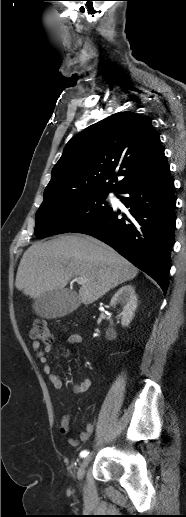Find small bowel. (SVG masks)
<instances>
[{
    "mask_svg": "<svg viewBox=\"0 0 186 517\" xmlns=\"http://www.w3.org/2000/svg\"><path fill=\"white\" fill-rule=\"evenodd\" d=\"M68 344L75 346L79 345L82 342L81 335L77 333H72L67 338ZM32 349L36 355V358L43 364V370L49 376V380L54 387L55 390H62L63 382L60 376L56 373L51 372V367L47 364L46 353L50 352L52 349L51 345H46L44 348L41 347L38 341L32 342ZM91 386V380L88 377H85L80 383L72 386V390L75 393H83L86 392ZM71 415L66 413L62 416L60 422V430L63 434H68L70 427ZM95 429V425L93 423H88L85 429L80 433L79 438H68V444L72 447H77L81 442L87 441L92 435Z\"/></svg>",
    "mask_w": 186,
    "mask_h": 517,
    "instance_id": "small-bowel-1",
    "label": "small bowel"
}]
</instances>
